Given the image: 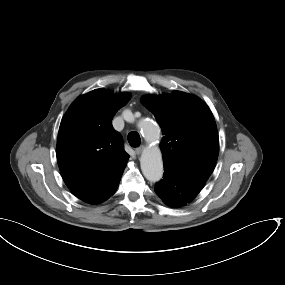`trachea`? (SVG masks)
<instances>
[{
    "label": "trachea",
    "mask_w": 285,
    "mask_h": 285,
    "mask_svg": "<svg viewBox=\"0 0 285 285\" xmlns=\"http://www.w3.org/2000/svg\"><path fill=\"white\" fill-rule=\"evenodd\" d=\"M128 142L132 147H138L141 143L140 135L137 132H130Z\"/></svg>",
    "instance_id": "1"
}]
</instances>
